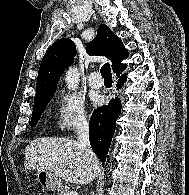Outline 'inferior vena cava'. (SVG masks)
Returning a JSON list of instances; mask_svg holds the SVG:
<instances>
[{
    "mask_svg": "<svg viewBox=\"0 0 189 195\" xmlns=\"http://www.w3.org/2000/svg\"><path fill=\"white\" fill-rule=\"evenodd\" d=\"M76 131L79 143L86 147L88 151H92L89 142V122L85 117H80L77 119Z\"/></svg>",
    "mask_w": 189,
    "mask_h": 195,
    "instance_id": "1",
    "label": "inferior vena cava"
}]
</instances>
